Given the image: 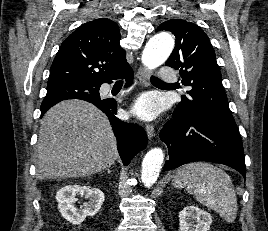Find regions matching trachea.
<instances>
[{
  "label": "trachea",
  "instance_id": "trachea-1",
  "mask_svg": "<svg viewBox=\"0 0 268 231\" xmlns=\"http://www.w3.org/2000/svg\"><path fill=\"white\" fill-rule=\"evenodd\" d=\"M151 81L152 82H161V83H165L164 81L160 80L159 78L155 77V76H152L151 77Z\"/></svg>",
  "mask_w": 268,
  "mask_h": 231
}]
</instances>
